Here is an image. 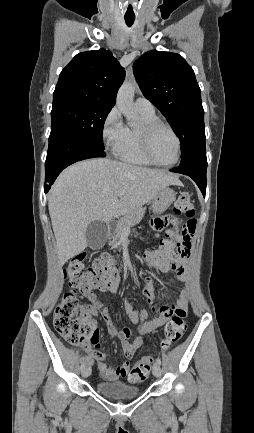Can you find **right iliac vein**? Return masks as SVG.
Returning a JSON list of instances; mask_svg holds the SVG:
<instances>
[{"label":"right iliac vein","instance_id":"1","mask_svg":"<svg viewBox=\"0 0 254 433\" xmlns=\"http://www.w3.org/2000/svg\"><path fill=\"white\" fill-rule=\"evenodd\" d=\"M82 376L84 377V378H86V377H88L90 374H91V368L89 367V366H87V367H84L83 369H82Z\"/></svg>","mask_w":254,"mask_h":433}]
</instances>
